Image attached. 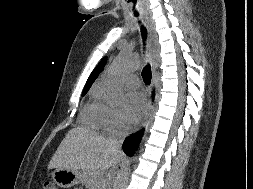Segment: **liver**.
<instances>
[{
  "mask_svg": "<svg viewBox=\"0 0 253 189\" xmlns=\"http://www.w3.org/2000/svg\"><path fill=\"white\" fill-rule=\"evenodd\" d=\"M124 158L123 153H117L110 145V140L96 132L76 127L70 130L52 156L48 168H65L82 170L84 180L92 189H110V183L102 182L108 179L110 168H115ZM103 188H97L98 186Z\"/></svg>",
  "mask_w": 253,
  "mask_h": 189,
  "instance_id": "liver-1",
  "label": "liver"
}]
</instances>
